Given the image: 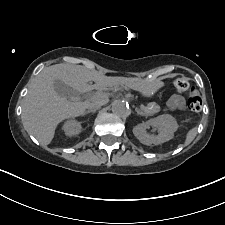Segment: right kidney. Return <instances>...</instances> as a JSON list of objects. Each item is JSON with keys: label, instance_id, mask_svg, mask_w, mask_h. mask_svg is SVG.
<instances>
[{"label": "right kidney", "instance_id": "right-kidney-1", "mask_svg": "<svg viewBox=\"0 0 225 225\" xmlns=\"http://www.w3.org/2000/svg\"><path fill=\"white\" fill-rule=\"evenodd\" d=\"M62 129L64 130L66 135L73 136L78 135L81 132L82 126L80 122L71 119L64 123Z\"/></svg>", "mask_w": 225, "mask_h": 225}]
</instances>
